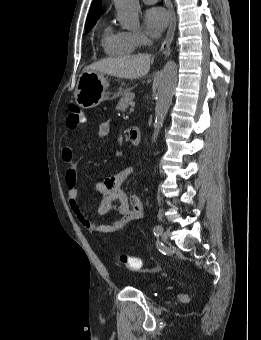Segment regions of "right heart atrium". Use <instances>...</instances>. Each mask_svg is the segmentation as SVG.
I'll return each instance as SVG.
<instances>
[{
	"instance_id": "1",
	"label": "right heart atrium",
	"mask_w": 261,
	"mask_h": 340,
	"mask_svg": "<svg viewBox=\"0 0 261 340\" xmlns=\"http://www.w3.org/2000/svg\"><path fill=\"white\" fill-rule=\"evenodd\" d=\"M131 35L135 42L137 43V45L140 47L144 46L148 41L146 35L141 31L132 32Z\"/></svg>"
}]
</instances>
